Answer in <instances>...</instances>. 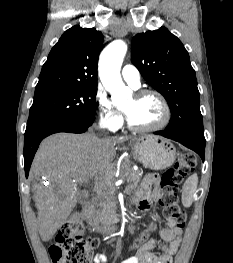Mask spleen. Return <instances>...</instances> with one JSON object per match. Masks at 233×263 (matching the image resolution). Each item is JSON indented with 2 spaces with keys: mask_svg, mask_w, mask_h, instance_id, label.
Here are the masks:
<instances>
[{
  "mask_svg": "<svg viewBox=\"0 0 233 263\" xmlns=\"http://www.w3.org/2000/svg\"><path fill=\"white\" fill-rule=\"evenodd\" d=\"M198 176L197 174L191 175L184 183L182 192V204L184 207L189 208L193 202V195L197 190Z\"/></svg>",
  "mask_w": 233,
  "mask_h": 263,
  "instance_id": "1",
  "label": "spleen"
}]
</instances>
